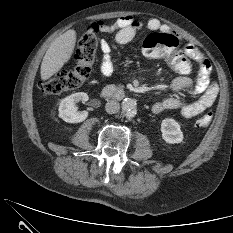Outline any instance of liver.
I'll return each instance as SVG.
<instances>
[{
	"label": "liver",
	"instance_id": "liver-1",
	"mask_svg": "<svg viewBox=\"0 0 233 233\" xmlns=\"http://www.w3.org/2000/svg\"><path fill=\"white\" fill-rule=\"evenodd\" d=\"M76 43L75 30H68L57 37L46 51L41 63V79L43 81L57 73L69 61Z\"/></svg>",
	"mask_w": 233,
	"mask_h": 233
}]
</instances>
